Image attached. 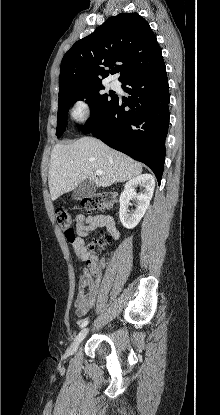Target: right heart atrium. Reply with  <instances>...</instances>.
I'll use <instances>...</instances> for the list:
<instances>
[{"label":"right heart atrium","instance_id":"d8ad5b80","mask_svg":"<svg viewBox=\"0 0 220 415\" xmlns=\"http://www.w3.org/2000/svg\"><path fill=\"white\" fill-rule=\"evenodd\" d=\"M93 113L92 106L86 99H80L72 109V117L75 121L83 123L87 121Z\"/></svg>","mask_w":220,"mask_h":415}]
</instances>
